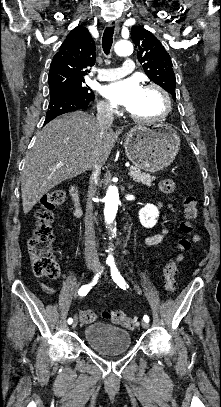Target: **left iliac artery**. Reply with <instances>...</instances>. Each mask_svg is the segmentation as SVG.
<instances>
[{"label":"left iliac artery","instance_id":"left-iliac-artery-1","mask_svg":"<svg viewBox=\"0 0 221 407\" xmlns=\"http://www.w3.org/2000/svg\"><path fill=\"white\" fill-rule=\"evenodd\" d=\"M111 276L113 281L122 289L126 290L129 286L126 284L124 278L120 275V272L118 271L117 267L115 264H111ZM143 320L145 322H149V317L147 315H144Z\"/></svg>","mask_w":221,"mask_h":407}]
</instances>
